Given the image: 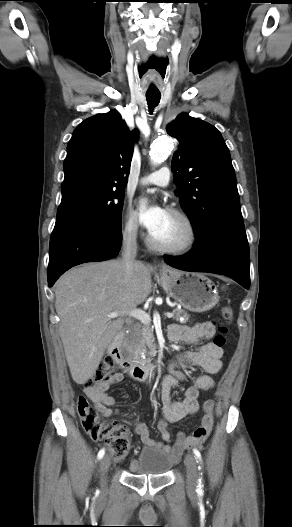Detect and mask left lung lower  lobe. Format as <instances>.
<instances>
[{
    "label": "left lung lower lobe",
    "mask_w": 292,
    "mask_h": 527,
    "mask_svg": "<svg viewBox=\"0 0 292 527\" xmlns=\"http://www.w3.org/2000/svg\"><path fill=\"white\" fill-rule=\"evenodd\" d=\"M164 262L186 271L228 276L250 288L249 245L245 230L224 229L201 238L183 256H164Z\"/></svg>",
    "instance_id": "obj_1"
}]
</instances>
